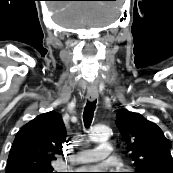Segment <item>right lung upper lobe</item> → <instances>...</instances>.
Instances as JSON below:
<instances>
[{
    "mask_svg": "<svg viewBox=\"0 0 173 173\" xmlns=\"http://www.w3.org/2000/svg\"><path fill=\"white\" fill-rule=\"evenodd\" d=\"M66 130L59 113L50 111L21 127L9 152L6 173H32L52 168L62 149Z\"/></svg>",
    "mask_w": 173,
    "mask_h": 173,
    "instance_id": "obj_1",
    "label": "right lung upper lobe"
}]
</instances>
